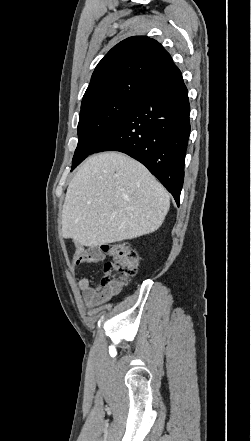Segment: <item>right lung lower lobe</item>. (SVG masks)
Wrapping results in <instances>:
<instances>
[{"label":"right lung lower lobe","instance_id":"obj_1","mask_svg":"<svg viewBox=\"0 0 251 441\" xmlns=\"http://www.w3.org/2000/svg\"><path fill=\"white\" fill-rule=\"evenodd\" d=\"M189 114L188 91L179 71L143 94L91 154L119 151L138 160L179 206L190 135Z\"/></svg>","mask_w":251,"mask_h":441}]
</instances>
